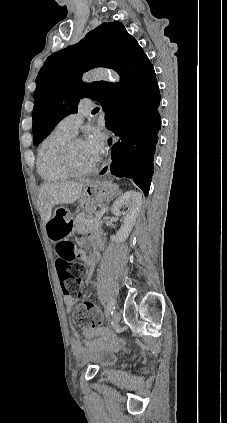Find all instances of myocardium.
<instances>
[{
	"label": "myocardium",
	"mask_w": 227,
	"mask_h": 423,
	"mask_svg": "<svg viewBox=\"0 0 227 423\" xmlns=\"http://www.w3.org/2000/svg\"><path fill=\"white\" fill-rule=\"evenodd\" d=\"M77 142H83L81 138H71L68 140L61 148L59 152V160L62 169L64 170L65 174L69 177H82L91 174L95 170V166L92 165L91 167L78 171L73 167L72 160H71V152L73 146Z\"/></svg>",
	"instance_id": "obj_1"
}]
</instances>
